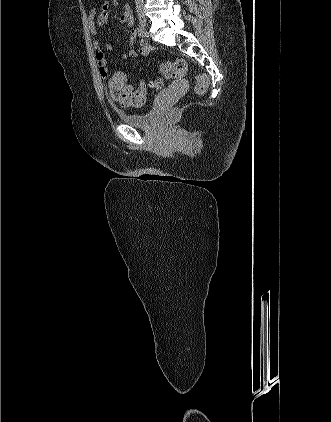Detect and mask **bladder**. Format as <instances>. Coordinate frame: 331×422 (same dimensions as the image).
Listing matches in <instances>:
<instances>
[{"mask_svg": "<svg viewBox=\"0 0 331 422\" xmlns=\"http://www.w3.org/2000/svg\"><path fill=\"white\" fill-rule=\"evenodd\" d=\"M161 98H157L153 106L145 112H125L118 111L120 119L133 127L139 128H152L155 126L158 114L159 103Z\"/></svg>", "mask_w": 331, "mask_h": 422, "instance_id": "1", "label": "bladder"}]
</instances>
